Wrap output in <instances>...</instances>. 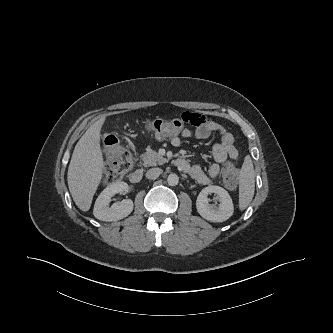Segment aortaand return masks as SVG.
Wrapping results in <instances>:
<instances>
[{"mask_svg":"<svg viewBox=\"0 0 333 333\" xmlns=\"http://www.w3.org/2000/svg\"><path fill=\"white\" fill-rule=\"evenodd\" d=\"M167 182L170 186H176L179 183V177L172 173L167 177Z\"/></svg>","mask_w":333,"mask_h":333,"instance_id":"obj_1","label":"aorta"}]
</instances>
